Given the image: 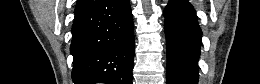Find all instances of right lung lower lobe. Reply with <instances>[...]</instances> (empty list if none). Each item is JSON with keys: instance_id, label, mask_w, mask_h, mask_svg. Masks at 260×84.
I'll use <instances>...</instances> for the list:
<instances>
[{"instance_id": "obj_1", "label": "right lung lower lobe", "mask_w": 260, "mask_h": 84, "mask_svg": "<svg viewBox=\"0 0 260 84\" xmlns=\"http://www.w3.org/2000/svg\"><path fill=\"white\" fill-rule=\"evenodd\" d=\"M70 50L75 84H132L134 32L129 0H78Z\"/></svg>"}]
</instances>
